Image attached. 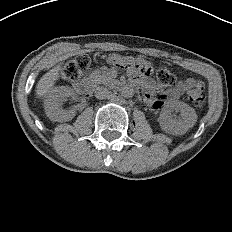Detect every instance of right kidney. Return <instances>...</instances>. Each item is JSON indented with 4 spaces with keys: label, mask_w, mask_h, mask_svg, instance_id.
<instances>
[{
    "label": "right kidney",
    "mask_w": 232,
    "mask_h": 232,
    "mask_svg": "<svg viewBox=\"0 0 232 232\" xmlns=\"http://www.w3.org/2000/svg\"><path fill=\"white\" fill-rule=\"evenodd\" d=\"M75 93L71 87L58 86L51 88L44 98V109L47 117L54 122H67L74 118L76 111L62 108V101Z\"/></svg>",
    "instance_id": "right-kidney-1"
}]
</instances>
